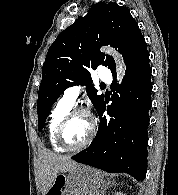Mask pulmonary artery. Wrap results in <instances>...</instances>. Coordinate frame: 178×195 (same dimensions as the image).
Wrapping results in <instances>:
<instances>
[{
    "label": "pulmonary artery",
    "mask_w": 178,
    "mask_h": 195,
    "mask_svg": "<svg viewBox=\"0 0 178 195\" xmlns=\"http://www.w3.org/2000/svg\"><path fill=\"white\" fill-rule=\"evenodd\" d=\"M99 78L104 84L111 83L112 77L107 67H102L100 69ZM82 90H83V86L81 85H74V86L68 87L62 95V99L68 104L73 105L78 99Z\"/></svg>",
    "instance_id": "pulmonary-artery-1"
}]
</instances>
